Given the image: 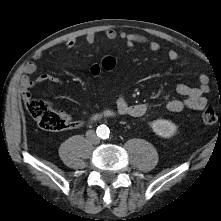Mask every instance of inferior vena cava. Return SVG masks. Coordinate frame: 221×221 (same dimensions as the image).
<instances>
[{
  "mask_svg": "<svg viewBox=\"0 0 221 221\" xmlns=\"http://www.w3.org/2000/svg\"><path fill=\"white\" fill-rule=\"evenodd\" d=\"M86 138L92 143V144H98L100 142L99 137L96 135V133L93 130H88L86 132Z\"/></svg>",
  "mask_w": 221,
  "mask_h": 221,
  "instance_id": "602c4592",
  "label": "inferior vena cava"
}]
</instances>
